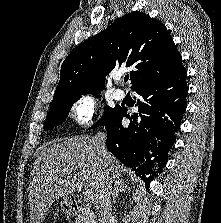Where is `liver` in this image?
Segmentation results:
<instances>
[{
  "mask_svg": "<svg viewBox=\"0 0 221 223\" xmlns=\"http://www.w3.org/2000/svg\"><path fill=\"white\" fill-rule=\"evenodd\" d=\"M105 160L109 174L119 178L118 160L108 151ZM101 172L94 137L81 135L44 147L34 162L28 188L30 223H42L55 200L80 186L98 191Z\"/></svg>",
  "mask_w": 221,
  "mask_h": 223,
  "instance_id": "1",
  "label": "liver"
}]
</instances>
